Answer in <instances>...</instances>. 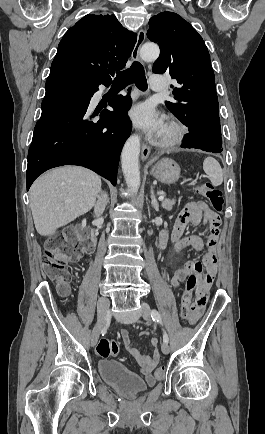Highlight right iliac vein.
I'll return each mask as SVG.
<instances>
[{
  "label": "right iliac vein",
  "instance_id": "1",
  "mask_svg": "<svg viewBox=\"0 0 265 434\" xmlns=\"http://www.w3.org/2000/svg\"><path fill=\"white\" fill-rule=\"evenodd\" d=\"M109 308V300L106 297H100L97 303L98 320L91 334V344L95 346L99 341V335L105 327V319Z\"/></svg>",
  "mask_w": 265,
  "mask_h": 434
}]
</instances>
